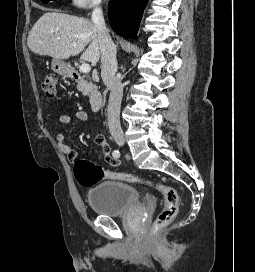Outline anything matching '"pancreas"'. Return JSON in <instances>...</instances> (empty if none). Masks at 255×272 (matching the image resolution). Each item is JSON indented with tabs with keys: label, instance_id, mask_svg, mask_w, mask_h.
<instances>
[{
	"label": "pancreas",
	"instance_id": "cf45deb5",
	"mask_svg": "<svg viewBox=\"0 0 255 272\" xmlns=\"http://www.w3.org/2000/svg\"><path fill=\"white\" fill-rule=\"evenodd\" d=\"M96 88V85L89 83H78L77 89L82 92L83 94H86L88 92V89Z\"/></svg>",
	"mask_w": 255,
	"mask_h": 272
}]
</instances>
